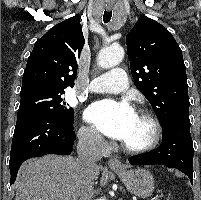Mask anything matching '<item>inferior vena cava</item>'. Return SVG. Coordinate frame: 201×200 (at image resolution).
<instances>
[{
  "mask_svg": "<svg viewBox=\"0 0 201 200\" xmlns=\"http://www.w3.org/2000/svg\"><path fill=\"white\" fill-rule=\"evenodd\" d=\"M76 159L78 194L80 200H92L94 195V171L102 157L103 139L96 133H84L78 137Z\"/></svg>",
  "mask_w": 201,
  "mask_h": 200,
  "instance_id": "602c4592",
  "label": "inferior vena cava"
}]
</instances>
